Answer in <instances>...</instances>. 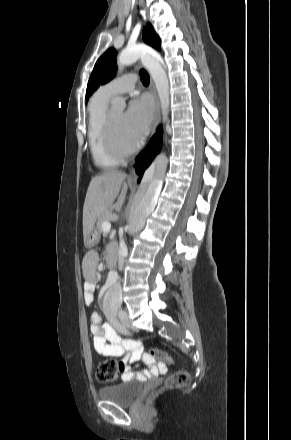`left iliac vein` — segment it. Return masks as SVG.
I'll list each match as a JSON object with an SVG mask.
<instances>
[{
  "mask_svg": "<svg viewBox=\"0 0 291 440\" xmlns=\"http://www.w3.org/2000/svg\"><path fill=\"white\" fill-rule=\"evenodd\" d=\"M118 317H119L120 321L123 324L122 330L124 332H127V328L130 327V320H129L127 311L126 310H120L118 312Z\"/></svg>",
  "mask_w": 291,
  "mask_h": 440,
  "instance_id": "1",
  "label": "left iliac vein"
}]
</instances>
